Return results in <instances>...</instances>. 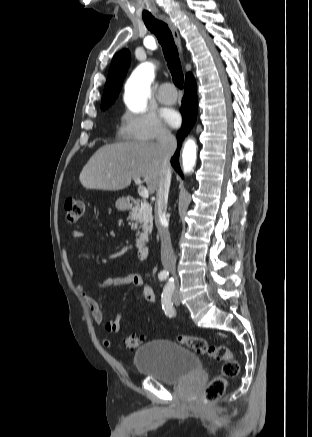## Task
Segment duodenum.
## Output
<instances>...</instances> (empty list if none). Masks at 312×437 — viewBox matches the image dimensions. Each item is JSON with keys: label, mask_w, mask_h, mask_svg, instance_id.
Masks as SVG:
<instances>
[{"label": "duodenum", "mask_w": 312, "mask_h": 437, "mask_svg": "<svg viewBox=\"0 0 312 437\" xmlns=\"http://www.w3.org/2000/svg\"><path fill=\"white\" fill-rule=\"evenodd\" d=\"M138 200L134 197H125V204L127 208H135L138 205ZM150 253V246L146 243H139L137 245V257L139 260H146Z\"/></svg>", "instance_id": "obj_1"}]
</instances>
